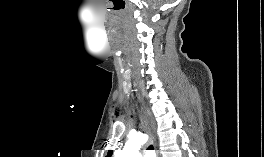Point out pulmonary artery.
Here are the masks:
<instances>
[{
  "label": "pulmonary artery",
  "instance_id": "1",
  "mask_svg": "<svg viewBox=\"0 0 264 157\" xmlns=\"http://www.w3.org/2000/svg\"><path fill=\"white\" fill-rule=\"evenodd\" d=\"M150 156H154V154L151 151H146L143 154V157H150Z\"/></svg>",
  "mask_w": 264,
  "mask_h": 157
}]
</instances>
